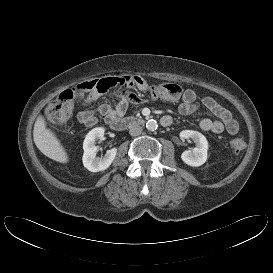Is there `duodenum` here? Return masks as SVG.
<instances>
[{
    "instance_id": "410a0bca",
    "label": "duodenum",
    "mask_w": 273,
    "mask_h": 273,
    "mask_svg": "<svg viewBox=\"0 0 273 273\" xmlns=\"http://www.w3.org/2000/svg\"><path fill=\"white\" fill-rule=\"evenodd\" d=\"M107 123L109 126L117 131L125 130L132 126L144 125L145 119L141 117H127V118H119V117H109ZM161 124L163 126H169L171 121L168 118H161Z\"/></svg>"
}]
</instances>
